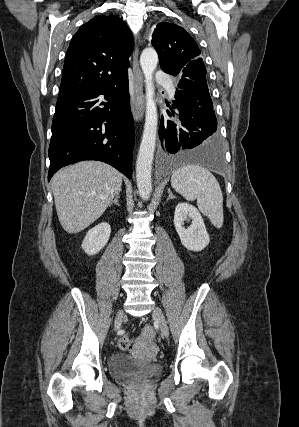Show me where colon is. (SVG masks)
I'll list each match as a JSON object with an SVG mask.
<instances>
[{"instance_id":"1","label":"colon","mask_w":299,"mask_h":427,"mask_svg":"<svg viewBox=\"0 0 299 427\" xmlns=\"http://www.w3.org/2000/svg\"><path fill=\"white\" fill-rule=\"evenodd\" d=\"M118 346L123 351H128L132 348L131 338L129 336H122L118 341Z\"/></svg>"}]
</instances>
